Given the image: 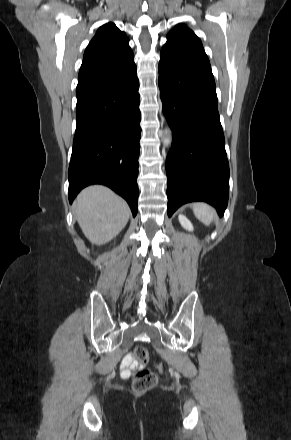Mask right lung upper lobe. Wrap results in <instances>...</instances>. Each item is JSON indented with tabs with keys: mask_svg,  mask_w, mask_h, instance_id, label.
I'll list each match as a JSON object with an SVG mask.
<instances>
[{
	"mask_svg": "<svg viewBox=\"0 0 291 440\" xmlns=\"http://www.w3.org/2000/svg\"><path fill=\"white\" fill-rule=\"evenodd\" d=\"M128 42L114 23L101 26L84 52L78 84L112 79L135 69Z\"/></svg>",
	"mask_w": 291,
	"mask_h": 440,
	"instance_id": "right-lung-upper-lobe-1",
	"label": "right lung upper lobe"
}]
</instances>
